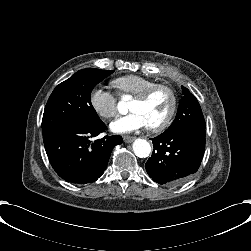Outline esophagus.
Masks as SVG:
<instances>
[{
  "mask_svg": "<svg viewBox=\"0 0 251 251\" xmlns=\"http://www.w3.org/2000/svg\"><path fill=\"white\" fill-rule=\"evenodd\" d=\"M123 140L125 143H130L135 140V137L134 136H124Z\"/></svg>",
  "mask_w": 251,
  "mask_h": 251,
  "instance_id": "34e87169",
  "label": "esophagus"
}]
</instances>
